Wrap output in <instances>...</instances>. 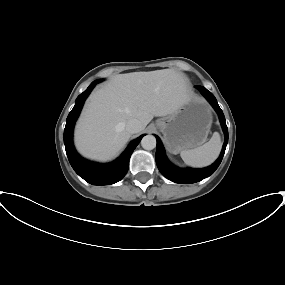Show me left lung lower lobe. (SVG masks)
Returning <instances> with one entry per match:
<instances>
[{"instance_id":"obj_1","label":"left lung lower lobe","mask_w":285,"mask_h":285,"mask_svg":"<svg viewBox=\"0 0 285 285\" xmlns=\"http://www.w3.org/2000/svg\"><path fill=\"white\" fill-rule=\"evenodd\" d=\"M195 87L210 102V104L213 106V108L218 113L221 126L225 134V141H224L222 152L219 158L211 166L207 168H203V169H180L178 167H175L168 161V159L165 156V152H164V148L161 143V140L159 139V137H156L157 138V148H156L157 167L163 176H165L167 179L175 183L190 184V183L201 181L204 178L210 176L220 165L223 155L225 153L227 143H228V129L225 123V117H224V114L221 108L219 107L217 103L216 98L206 88L202 86H195Z\"/></svg>"}]
</instances>
